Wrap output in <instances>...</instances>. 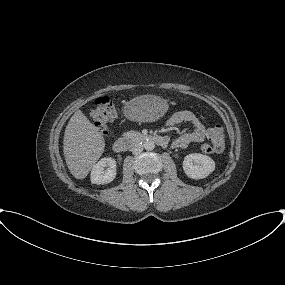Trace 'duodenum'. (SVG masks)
Wrapping results in <instances>:
<instances>
[{
	"label": "duodenum",
	"instance_id": "duodenum-1",
	"mask_svg": "<svg viewBox=\"0 0 285 285\" xmlns=\"http://www.w3.org/2000/svg\"><path fill=\"white\" fill-rule=\"evenodd\" d=\"M146 138H149V140L154 141L162 147H166L169 144V140L165 136L154 135L150 137H144L143 139L145 140ZM132 144L133 143L130 139L126 137H119L113 143V150L119 153L125 152L130 149Z\"/></svg>",
	"mask_w": 285,
	"mask_h": 285
}]
</instances>
